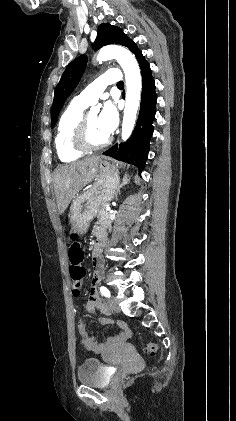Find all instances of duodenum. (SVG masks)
Segmentation results:
<instances>
[{
  "mask_svg": "<svg viewBox=\"0 0 236 421\" xmlns=\"http://www.w3.org/2000/svg\"><path fill=\"white\" fill-rule=\"evenodd\" d=\"M95 236L97 237V242H96L95 248H94L93 266H94L96 277L100 278L102 276V273H103V260L101 258L100 253H101V250L103 249V247L106 245V242H107V235H106L105 229L103 227L97 229L95 231ZM81 333L84 337L85 343L87 345H89L90 347H92L94 344H93V342H91L88 339L84 329H82ZM120 338H118V339H120Z\"/></svg>",
  "mask_w": 236,
  "mask_h": 421,
  "instance_id": "duodenum-1",
  "label": "duodenum"
}]
</instances>
